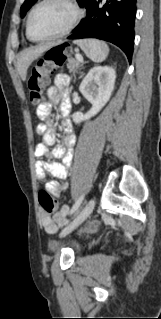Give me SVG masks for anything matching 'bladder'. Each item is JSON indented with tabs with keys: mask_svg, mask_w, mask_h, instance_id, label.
I'll use <instances>...</instances> for the list:
<instances>
[{
	"mask_svg": "<svg viewBox=\"0 0 161 319\" xmlns=\"http://www.w3.org/2000/svg\"><path fill=\"white\" fill-rule=\"evenodd\" d=\"M49 247L52 251H69L74 254H78L81 252V245L80 243L74 240H62L58 238H52L49 242Z\"/></svg>",
	"mask_w": 161,
	"mask_h": 319,
	"instance_id": "31cf9c89",
	"label": "bladder"
}]
</instances>
